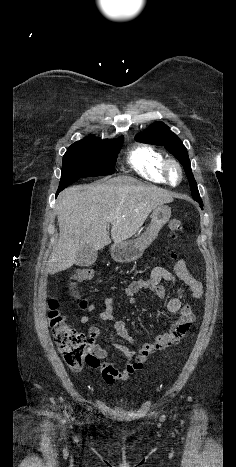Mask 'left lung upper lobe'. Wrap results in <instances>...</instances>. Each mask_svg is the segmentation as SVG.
Masks as SVG:
<instances>
[{
  "instance_id": "left-lung-upper-lobe-1",
  "label": "left lung upper lobe",
  "mask_w": 236,
  "mask_h": 467,
  "mask_svg": "<svg viewBox=\"0 0 236 467\" xmlns=\"http://www.w3.org/2000/svg\"><path fill=\"white\" fill-rule=\"evenodd\" d=\"M136 141L158 146H164L172 155L179 160L183 165L186 176L190 183L191 194L194 199H201L197 188L196 181L193 177L190 160L188 158L187 149L182 144L181 140L162 122L154 123L149 130L136 135Z\"/></svg>"
}]
</instances>
